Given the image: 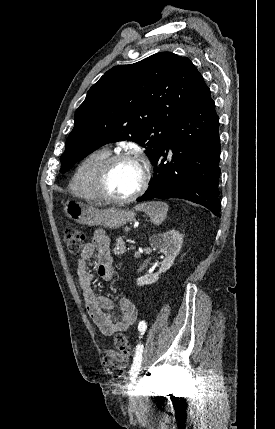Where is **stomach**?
Instances as JSON below:
<instances>
[{
	"mask_svg": "<svg viewBox=\"0 0 275 429\" xmlns=\"http://www.w3.org/2000/svg\"><path fill=\"white\" fill-rule=\"evenodd\" d=\"M65 215L77 223L109 229H117L135 219V213L119 208L98 209L81 202L67 201L63 209Z\"/></svg>",
	"mask_w": 275,
	"mask_h": 429,
	"instance_id": "1",
	"label": "stomach"
}]
</instances>
